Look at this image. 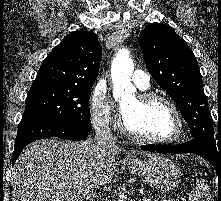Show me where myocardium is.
Masks as SVG:
<instances>
[{
	"instance_id": "obj_1",
	"label": "myocardium",
	"mask_w": 221,
	"mask_h": 201,
	"mask_svg": "<svg viewBox=\"0 0 221 201\" xmlns=\"http://www.w3.org/2000/svg\"><path fill=\"white\" fill-rule=\"evenodd\" d=\"M136 97H137L138 101L143 104L150 103L153 101H161V102L165 103L170 108V110L173 112V114L177 120L178 129H177L176 134L170 138L148 137V136L138 134V133L134 132L133 130H131L127 126V124L124 120V117L122 115V117L120 119L119 126H120L121 131L125 135H127L128 137H130L134 140H137V141L153 143V144H170V143L178 141L183 136L184 130H185L184 120H183V117H182L178 107L171 99H169L168 97H166L162 94L154 93V92L140 93Z\"/></svg>"
}]
</instances>
